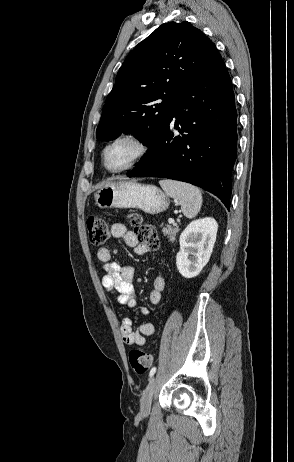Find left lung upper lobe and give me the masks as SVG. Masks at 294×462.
Segmentation results:
<instances>
[{
  "instance_id": "left-lung-upper-lobe-1",
  "label": "left lung upper lobe",
  "mask_w": 294,
  "mask_h": 462,
  "mask_svg": "<svg viewBox=\"0 0 294 462\" xmlns=\"http://www.w3.org/2000/svg\"><path fill=\"white\" fill-rule=\"evenodd\" d=\"M214 43L189 22L159 26L126 57L107 96L98 140L121 133L150 146L173 115L188 85L221 60Z\"/></svg>"
}]
</instances>
